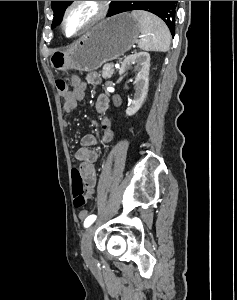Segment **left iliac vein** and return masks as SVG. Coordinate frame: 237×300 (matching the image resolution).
<instances>
[{"label": "left iliac vein", "mask_w": 237, "mask_h": 300, "mask_svg": "<svg viewBox=\"0 0 237 300\" xmlns=\"http://www.w3.org/2000/svg\"><path fill=\"white\" fill-rule=\"evenodd\" d=\"M95 225H92L87 230L86 234L82 238V251L84 255L85 263L88 267L93 266V254L91 249V240L94 235Z\"/></svg>", "instance_id": "1"}]
</instances>
